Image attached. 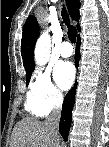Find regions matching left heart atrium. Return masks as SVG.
Segmentation results:
<instances>
[{
	"instance_id": "1",
	"label": "left heart atrium",
	"mask_w": 109,
	"mask_h": 147,
	"mask_svg": "<svg viewBox=\"0 0 109 147\" xmlns=\"http://www.w3.org/2000/svg\"><path fill=\"white\" fill-rule=\"evenodd\" d=\"M75 77V70L71 63L61 62L54 69V78L58 86L62 89H68Z\"/></svg>"
}]
</instances>
